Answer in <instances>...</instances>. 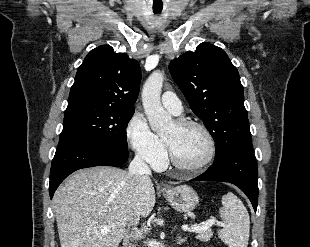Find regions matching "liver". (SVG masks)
<instances>
[{
    "instance_id": "liver-1",
    "label": "liver",
    "mask_w": 310,
    "mask_h": 247,
    "mask_svg": "<svg viewBox=\"0 0 310 247\" xmlns=\"http://www.w3.org/2000/svg\"><path fill=\"white\" fill-rule=\"evenodd\" d=\"M53 203L61 247H118L126 227L151 213L155 190L148 176L135 179L126 170L98 166L70 176Z\"/></svg>"
}]
</instances>
